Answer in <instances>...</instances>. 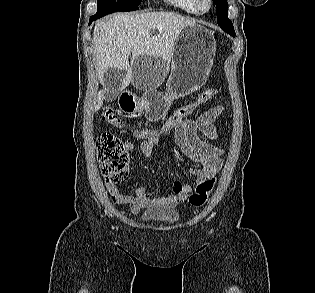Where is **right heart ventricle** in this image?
Masks as SVG:
<instances>
[{
    "mask_svg": "<svg viewBox=\"0 0 315 293\" xmlns=\"http://www.w3.org/2000/svg\"><path fill=\"white\" fill-rule=\"evenodd\" d=\"M170 6L178 11L187 14L198 16L200 13L196 7L195 0H165Z\"/></svg>",
    "mask_w": 315,
    "mask_h": 293,
    "instance_id": "right-heart-ventricle-1",
    "label": "right heart ventricle"
}]
</instances>
